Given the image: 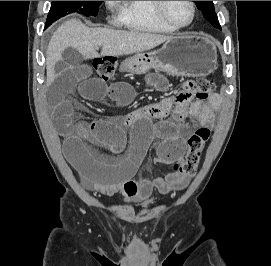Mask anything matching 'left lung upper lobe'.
<instances>
[{
  "instance_id": "left-lung-upper-lobe-1",
  "label": "left lung upper lobe",
  "mask_w": 271,
  "mask_h": 266,
  "mask_svg": "<svg viewBox=\"0 0 271 266\" xmlns=\"http://www.w3.org/2000/svg\"><path fill=\"white\" fill-rule=\"evenodd\" d=\"M197 8L203 13L204 18L214 27L221 28L214 10L213 1H194Z\"/></svg>"
}]
</instances>
